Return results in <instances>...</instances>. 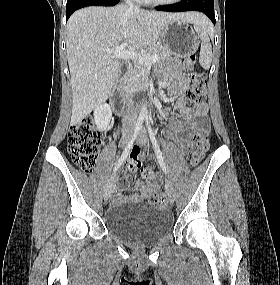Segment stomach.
<instances>
[{"label":"stomach","mask_w":280,"mask_h":285,"mask_svg":"<svg viewBox=\"0 0 280 285\" xmlns=\"http://www.w3.org/2000/svg\"><path fill=\"white\" fill-rule=\"evenodd\" d=\"M160 41L172 54L181 57L192 55L199 46L193 28L181 20L168 22L161 32Z\"/></svg>","instance_id":"1"}]
</instances>
